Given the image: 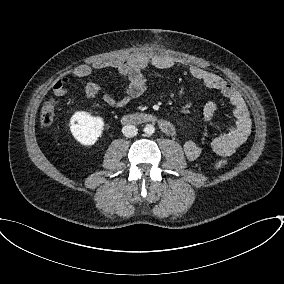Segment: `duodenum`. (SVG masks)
<instances>
[{
    "mask_svg": "<svg viewBox=\"0 0 284 284\" xmlns=\"http://www.w3.org/2000/svg\"><path fill=\"white\" fill-rule=\"evenodd\" d=\"M125 125H137L144 123H155L159 126L160 130L167 134L173 135L175 132L173 124L166 119H162L153 113H130L122 118Z\"/></svg>",
    "mask_w": 284,
    "mask_h": 284,
    "instance_id": "obj_1",
    "label": "duodenum"
}]
</instances>
